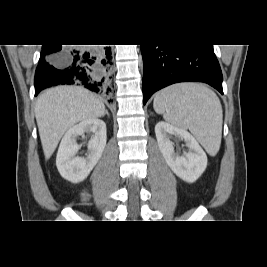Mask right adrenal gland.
<instances>
[{
	"mask_svg": "<svg viewBox=\"0 0 267 267\" xmlns=\"http://www.w3.org/2000/svg\"><path fill=\"white\" fill-rule=\"evenodd\" d=\"M105 114H107V116L110 118V115L107 110L105 111Z\"/></svg>",
	"mask_w": 267,
	"mask_h": 267,
	"instance_id": "right-adrenal-gland-1",
	"label": "right adrenal gland"
}]
</instances>
